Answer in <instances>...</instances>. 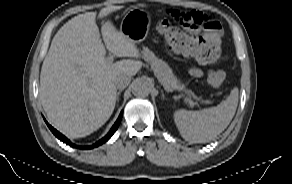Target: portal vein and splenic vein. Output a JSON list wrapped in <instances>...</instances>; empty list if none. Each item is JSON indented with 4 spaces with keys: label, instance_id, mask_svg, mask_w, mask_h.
Wrapping results in <instances>:
<instances>
[{
    "label": "portal vein and splenic vein",
    "instance_id": "portal-vein-and-splenic-vein-1",
    "mask_svg": "<svg viewBox=\"0 0 292 184\" xmlns=\"http://www.w3.org/2000/svg\"><path fill=\"white\" fill-rule=\"evenodd\" d=\"M108 63H112L113 62V56L110 55L107 59ZM186 102H189L191 106H194V103L192 101H189L188 99H186Z\"/></svg>",
    "mask_w": 292,
    "mask_h": 184
}]
</instances>
